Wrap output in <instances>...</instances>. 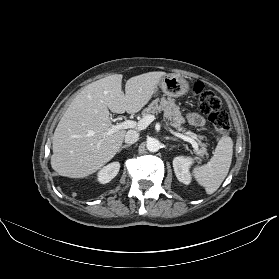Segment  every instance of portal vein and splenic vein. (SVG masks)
Listing matches in <instances>:
<instances>
[{"label":"portal vein and splenic vein","instance_id":"portal-vein-and-splenic-vein-1","mask_svg":"<svg viewBox=\"0 0 279 279\" xmlns=\"http://www.w3.org/2000/svg\"><path fill=\"white\" fill-rule=\"evenodd\" d=\"M155 119V116L150 114V115H147L145 116L144 118H142L140 121L136 122V121H132V120H126L124 122H121V123H118L116 125H111L110 127V130L107 132L108 135H111L113 133H115L116 131H119V130H123V129H129V128H136L138 130H143L145 129L151 122H153ZM165 122V126L166 128L168 129V131L178 137V138H181L183 139L184 141H187L189 143L192 144L194 150L196 151L197 154H200L199 152V149H198V144L196 143V141L189 137V136H186V135H183V134H180V133H177L175 132L168 124L167 121H164Z\"/></svg>","mask_w":279,"mask_h":279}]
</instances>
